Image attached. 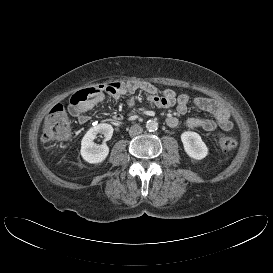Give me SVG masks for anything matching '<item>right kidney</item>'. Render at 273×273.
I'll return each mask as SVG.
<instances>
[{
	"label": "right kidney",
	"mask_w": 273,
	"mask_h": 273,
	"mask_svg": "<svg viewBox=\"0 0 273 273\" xmlns=\"http://www.w3.org/2000/svg\"><path fill=\"white\" fill-rule=\"evenodd\" d=\"M113 131V127L106 123H101L90 128L81 141L82 158L91 164L104 161L109 154V147L107 146L106 141L111 139ZM98 133L104 135V143L101 145L94 143V139Z\"/></svg>",
	"instance_id": "right-kidney-1"
}]
</instances>
